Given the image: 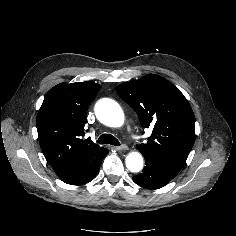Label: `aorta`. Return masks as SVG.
Listing matches in <instances>:
<instances>
[{
    "instance_id": "762f6f07",
    "label": "aorta",
    "mask_w": 236,
    "mask_h": 236,
    "mask_svg": "<svg viewBox=\"0 0 236 236\" xmlns=\"http://www.w3.org/2000/svg\"><path fill=\"white\" fill-rule=\"evenodd\" d=\"M96 116L103 124L120 127L124 123V113L120 105L112 99H101L95 108ZM126 167L131 172H139L143 168V158L139 152H131L125 159Z\"/></svg>"
}]
</instances>
